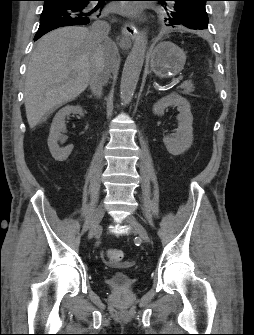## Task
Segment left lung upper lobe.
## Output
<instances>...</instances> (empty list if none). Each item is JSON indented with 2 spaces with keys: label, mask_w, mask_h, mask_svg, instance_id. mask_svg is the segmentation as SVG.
Returning a JSON list of instances; mask_svg holds the SVG:
<instances>
[{
  "label": "left lung upper lobe",
  "mask_w": 254,
  "mask_h": 335,
  "mask_svg": "<svg viewBox=\"0 0 254 335\" xmlns=\"http://www.w3.org/2000/svg\"><path fill=\"white\" fill-rule=\"evenodd\" d=\"M166 10L168 26H185L190 29H207L205 9L208 0H158Z\"/></svg>",
  "instance_id": "obj_1"
}]
</instances>
